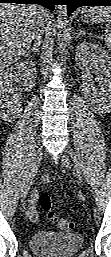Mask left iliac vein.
Listing matches in <instances>:
<instances>
[{
  "label": "left iliac vein",
  "mask_w": 111,
  "mask_h": 257,
  "mask_svg": "<svg viewBox=\"0 0 111 257\" xmlns=\"http://www.w3.org/2000/svg\"><path fill=\"white\" fill-rule=\"evenodd\" d=\"M67 153L69 154V156L73 159V161H74V171H75V173H76V175H77V177H78V180L80 181V182H83V176H82V169H81V166H80V164L77 162V159H76V157H75V154H74V152L72 151V149H70V148H67Z\"/></svg>",
  "instance_id": "obj_1"
}]
</instances>
